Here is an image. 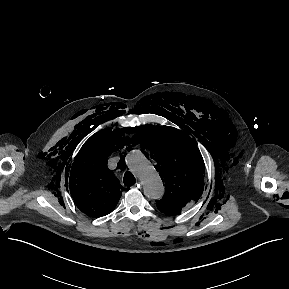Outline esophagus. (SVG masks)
I'll list each match as a JSON object with an SVG mask.
<instances>
[{
    "label": "esophagus",
    "instance_id": "1",
    "mask_svg": "<svg viewBox=\"0 0 289 289\" xmlns=\"http://www.w3.org/2000/svg\"><path fill=\"white\" fill-rule=\"evenodd\" d=\"M140 186V182L136 183L134 186H132V188H139Z\"/></svg>",
    "mask_w": 289,
    "mask_h": 289
}]
</instances>
